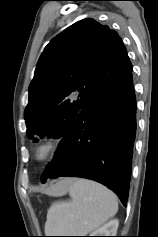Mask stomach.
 I'll return each instance as SVG.
<instances>
[{
    "instance_id": "obj_1",
    "label": "stomach",
    "mask_w": 158,
    "mask_h": 237,
    "mask_svg": "<svg viewBox=\"0 0 158 237\" xmlns=\"http://www.w3.org/2000/svg\"><path fill=\"white\" fill-rule=\"evenodd\" d=\"M63 180H68V179H63ZM63 180H61V181H63ZM69 185H70V184H65V185H63V186L58 190V193H59V194L66 193L67 190H68V188H69Z\"/></svg>"
}]
</instances>
